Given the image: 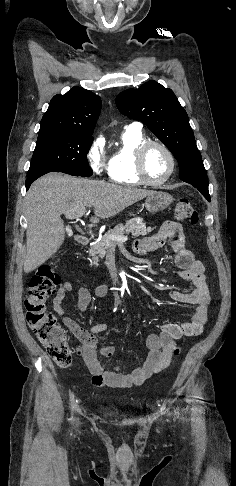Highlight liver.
<instances>
[{
  "label": "liver",
  "instance_id": "obj_1",
  "mask_svg": "<svg viewBox=\"0 0 236 486\" xmlns=\"http://www.w3.org/2000/svg\"><path fill=\"white\" fill-rule=\"evenodd\" d=\"M154 191L124 187L99 180L49 173L36 180L26 194L27 251L24 272L46 262L65 238L62 214L94 207L93 223L110 218Z\"/></svg>",
  "mask_w": 236,
  "mask_h": 486
}]
</instances>
